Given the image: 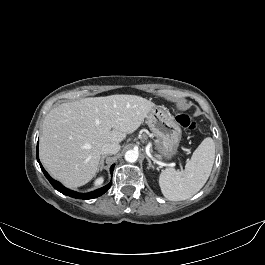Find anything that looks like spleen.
I'll list each match as a JSON object with an SVG mask.
<instances>
[{
  "label": "spleen",
  "instance_id": "obj_1",
  "mask_svg": "<svg viewBox=\"0 0 265 265\" xmlns=\"http://www.w3.org/2000/svg\"><path fill=\"white\" fill-rule=\"evenodd\" d=\"M215 159V144L205 138L193 152L185 169L167 168L159 176L162 194L171 201L186 200L196 194L207 182Z\"/></svg>",
  "mask_w": 265,
  "mask_h": 265
}]
</instances>
